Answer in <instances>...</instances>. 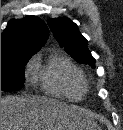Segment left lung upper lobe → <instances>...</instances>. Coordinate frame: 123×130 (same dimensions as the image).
Here are the masks:
<instances>
[{"label":"left lung upper lobe","instance_id":"5c2ea615","mask_svg":"<svg viewBox=\"0 0 123 130\" xmlns=\"http://www.w3.org/2000/svg\"><path fill=\"white\" fill-rule=\"evenodd\" d=\"M48 25L55 38L66 52L77 62L95 67V59L87 47V40L80 34L78 27L67 17L52 18Z\"/></svg>","mask_w":123,"mask_h":130}]
</instances>
